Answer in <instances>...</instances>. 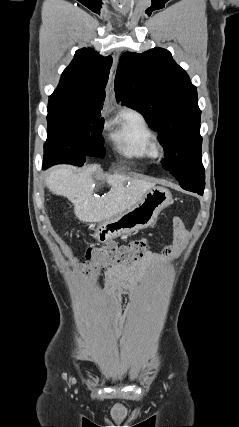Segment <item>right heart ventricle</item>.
Instances as JSON below:
<instances>
[{"instance_id": "obj_1", "label": "right heart ventricle", "mask_w": 239, "mask_h": 427, "mask_svg": "<svg viewBox=\"0 0 239 427\" xmlns=\"http://www.w3.org/2000/svg\"><path fill=\"white\" fill-rule=\"evenodd\" d=\"M111 138L128 159H151L157 155L156 135L136 110L125 111L115 119Z\"/></svg>"}]
</instances>
